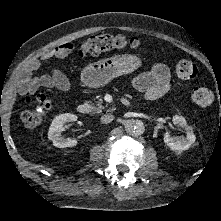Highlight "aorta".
I'll use <instances>...</instances> for the list:
<instances>
[{"instance_id": "aorta-1", "label": "aorta", "mask_w": 221, "mask_h": 221, "mask_svg": "<svg viewBox=\"0 0 221 221\" xmlns=\"http://www.w3.org/2000/svg\"><path fill=\"white\" fill-rule=\"evenodd\" d=\"M124 126L126 132L133 136H139L144 132V124L138 119H129Z\"/></svg>"}]
</instances>
